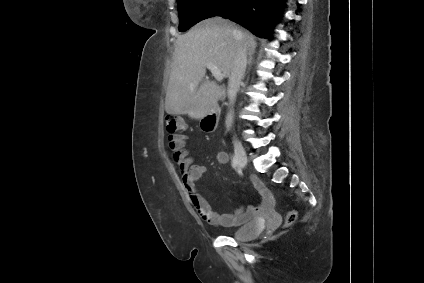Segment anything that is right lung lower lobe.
<instances>
[{"mask_svg":"<svg viewBox=\"0 0 424 283\" xmlns=\"http://www.w3.org/2000/svg\"><path fill=\"white\" fill-rule=\"evenodd\" d=\"M284 0H234L217 16L230 19L261 38H270Z\"/></svg>","mask_w":424,"mask_h":283,"instance_id":"98d812e1","label":"right lung lower lobe"}]
</instances>
